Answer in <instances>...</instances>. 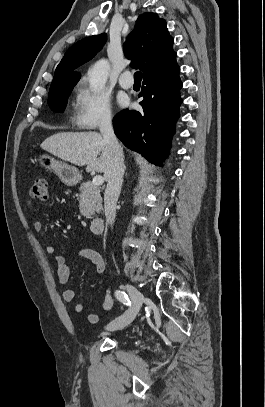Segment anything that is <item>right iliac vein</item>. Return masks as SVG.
I'll return each mask as SVG.
<instances>
[{
	"instance_id": "obj_1",
	"label": "right iliac vein",
	"mask_w": 265,
	"mask_h": 407,
	"mask_svg": "<svg viewBox=\"0 0 265 407\" xmlns=\"http://www.w3.org/2000/svg\"><path fill=\"white\" fill-rule=\"evenodd\" d=\"M125 288L132 299V306L126 313L107 325L106 329L109 331L120 330L128 326L137 316L142 306L144 300L143 294L130 284H126Z\"/></svg>"
}]
</instances>
